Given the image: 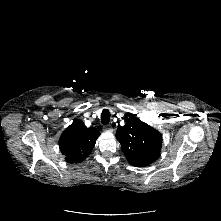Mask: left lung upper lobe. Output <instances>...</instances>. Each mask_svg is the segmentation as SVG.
<instances>
[{
    "label": "left lung upper lobe",
    "mask_w": 221,
    "mask_h": 221,
    "mask_svg": "<svg viewBox=\"0 0 221 221\" xmlns=\"http://www.w3.org/2000/svg\"><path fill=\"white\" fill-rule=\"evenodd\" d=\"M116 138L121 143L128 162L133 166H147L160 154L161 134L137 118H132L124 126L118 127Z\"/></svg>",
    "instance_id": "left-lung-upper-lobe-1"
}]
</instances>
